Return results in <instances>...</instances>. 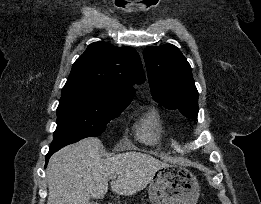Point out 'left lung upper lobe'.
Returning a JSON list of instances; mask_svg holds the SVG:
<instances>
[{"label":"left lung upper lobe","mask_w":261,"mask_h":204,"mask_svg":"<svg viewBox=\"0 0 261 204\" xmlns=\"http://www.w3.org/2000/svg\"><path fill=\"white\" fill-rule=\"evenodd\" d=\"M143 56L154 100L197 120L199 94L191 67L181 51L174 45L164 44L145 48Z\"/></svg>","instance_id":"5c2ea615"}]
</instances>
